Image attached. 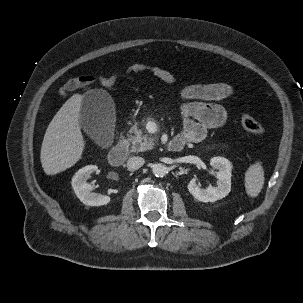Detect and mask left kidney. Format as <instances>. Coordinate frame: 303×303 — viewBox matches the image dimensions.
<instances>
[{"instance_id":"5707ae66","label":"left kidney","mask_w":303,"mask_h":303,"mask_svg":"<svg viewBox=\"0 0 303 303\" xmlns=\"http://www.w3.org/2000/svg\"><path fill=\"white\" fill-rule=\"evenodd\" d=\"M210 165L217 169L216 172V186H209L202 189L197 185L195 179L188 183V191L201 202H215L227 196L231 191V170L232 165L230 161L224 157H213L210 160Z\"/></svg>"}]
</instances>
